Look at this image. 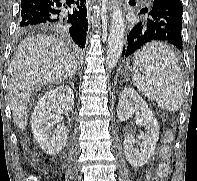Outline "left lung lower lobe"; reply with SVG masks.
I'll return each mask as SVG.
<instances>
[{"label": "left lung lower lobe", "instance_id": "0a47b994", "mask_svg": "<svg viewBox=\"0 0 197 181\" xmlns=\"http://www.w3.org/2000/svg\"><path fill=\"white\" fill-rule=\"evenodd\" d=\"M182 13L180 0H153L127 35L122 57L132 55L153 41H167L182 51Z\"/></svg>", "mask_w": 197, "mask_h": 181}]
</instances>
